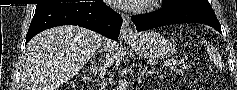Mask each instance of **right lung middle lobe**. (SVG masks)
<instances>
[{
	"instance_id": "right-lung-middle-lobe-1",
	"label": "right lung middle lobe",
	"mask_w": 237,
	"mask_h": 90,
	"mask_svg": "<svg viewBox=\"0 0 237 90\" xmlns=\"http://www.w3.org/2000/svg\"><path fill=\"white\" fill-rule=\"evenodd\" d=\"M47 5H49V4H37V6H36V8H40V7H43V6H47Z\"/></svg>"
}]
</instances>
